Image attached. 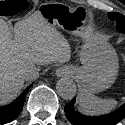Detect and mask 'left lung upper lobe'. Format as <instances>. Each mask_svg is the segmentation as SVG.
<instances>
[{"instance_id":"obj_1","label":"left lung upper lobe","mask_w":125,"mask_h":125,"mask_svg":"<svg viewBox=\"0 0 125 125\" xmlns=\"http://www.w3.org/2000/svg\"><path fill=\"white\" fill-rule=\"evenodd\" d=\"M111 20L116 21V27L119 32L125 33V16L118 12L108 13Z\"/></svg>"}]
</instances>
